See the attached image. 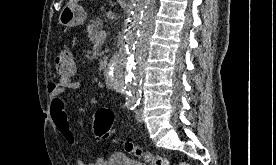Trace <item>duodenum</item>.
I'll use <instances>...</instances> for the list:
<instances>
[{"instance_id": "obj_1", "label": "duodenum", "mask_w": 276, "mask_h": 165, "mask_svg": "<svg viewBox=\"0 0 276 165\" xmlns=\"http://www.w3.org/2000/svg\"><path fill=\"white\" fill-rule=\"evenodd\" d=\"M104 78L107 82H110V75H109V70L108 69H105L104 72Z\"/></svg>"}]
</instances>
